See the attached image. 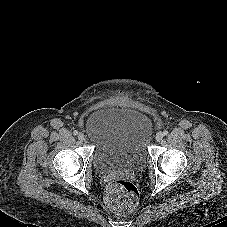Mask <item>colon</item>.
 Segmentation results:
<instances>
[{
  "mask_svg": "<svg viewBox=\"0 0 227 227\" xmlns=\"http://www.w3.org/2000/svg\"><path fill=\"white\" fill-rule=\"evenodd\" d=\"M138 191L133 183L126 179H113L105 189V202L120 216L128 215L138 206Z\"/></svg>",
  "mask_w": 227,
  "mask_h": 227,
  "instance_id": "colon-1",
  "label": "colon"
}]
</instances>
